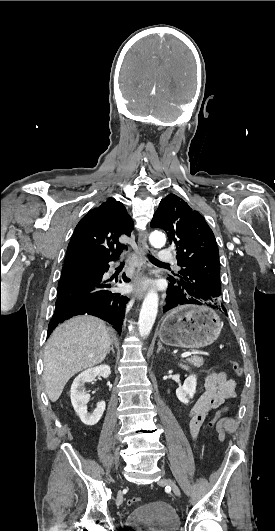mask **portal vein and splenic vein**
Segmentation results:
<instances>
[{
  "label": "portal vein and splenic vein",
  "mask_w": 275,
  "mask_h": 531,
  "mask_svg": "<svg viewBox=\"0 0 275 531\" xmlns=\"http://www.w3.org/2000/svg\"><path fill=\"white\" fill-rule=\"evenodd\" d=\"M189 355H191V353H182L181 357H189Z\"/></svg>",
  "instance_id": "portal-vein-and-splenic-vein-1"
}]
</instances>
